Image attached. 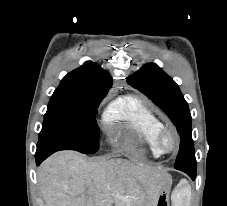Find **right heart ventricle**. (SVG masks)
<instances>
[{
	"label": "right heart ventricle",
	"instance_id": "1",
	"mask_svg": "<svg viewBox=\"0 0 227 206\" xmlns=\"http://www.w3.org/2000/svg\"><path fill=\"white\" fill-rule=\"evenodd\" d=\"M103 121L106 124L124 125L151 156H161L155 145V135L163 123L141 98L127 95L114 100L105 110Z\"/></svg>",
	"mask_w": 227,
	"mask_h": 206
}]
</instances>
